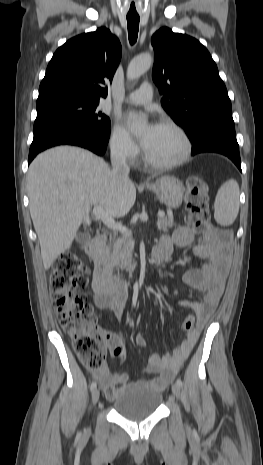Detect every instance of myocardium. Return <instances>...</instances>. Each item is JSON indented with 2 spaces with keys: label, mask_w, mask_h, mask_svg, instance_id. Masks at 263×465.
Masks as SVG:
<instances>
[{
  "label": "myocardium",
  "mask_w": 263,
  "mask_h": 465,
  "mask_svg": "<svg viewBox=\"0 0 263 465\" xmlns=\"http://www.w3.org/2000/svg\"><path fill=\"white\" fill-rule=\"evenodd\" d=\"M159 126L173 129L180 135L183 141V144H184L183 152L180 155V157H178L175 160L167 161V162H160L152 158L148 154L146 149H144V159L146 163H148L150 166L157 168V169H172V168H175L177 166L184 164L190 158L191 153H192V141L188 133L181 125H179L178 123L174 121H170V120L162 121L159 124Z\"/></svg>",
  "instance_id": "obj_1"
}]
</instances>
